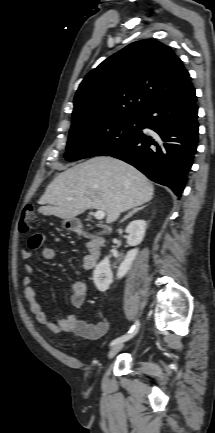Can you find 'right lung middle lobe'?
<instances>
[{
	"mask_svg": "<svg viewBox=\"0 0 215 433\" xmlns=\"http://www.w3.org/2000/svg\"><path fill=\"white\" fill-rule=\"evenodd\" d=\"M142 116H122L71 127L67 152L68 161L104 155L129 143L141 131Z\"/></svg>",
	"mask_w": 215,
	"mask_h": 433,
	"instance_id": "1",
	"label": "right lung middle lobe"
}]
</instances>
